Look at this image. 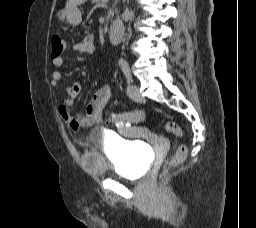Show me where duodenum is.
<instances>
[{"mask_svg": "<svg viewBox=\"0 0 256 228\" xmlns=\"http://www.w3.org/2000/svg\"><path fill=\"white\" fill-rule=\"evenodd\" d=\"M124 34V27L120 22H114L109 30L108 38L110 43L117 44L121 41Z\"/></svg>", "mask_w": 256, "mask_h": 228, "instance_id": "1", "label": "duodenum"}]
</instances>
